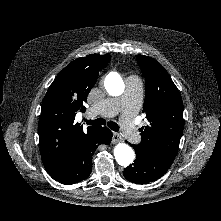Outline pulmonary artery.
I'll use <instances>...</instances> for the list:
<instances>
[{
	"instance_id": "pulmonary-artery-1",
	"label": "pulmonary artery",
	"mask_w": 221,
	"mask_h": 221,
	"mask_svg": "<svg viewBox=\"0 0 221 221\" xmlns=\"http://www.w3.org/2000/svg\"><path fill=\"white\" fill-rule=\"evenodd\" d=\"M142 83L135 76L126 79L125 91L121 97L105 100L97 107L90 108L87 117L96 115L114 116L122 112L121 128L132 143L139 141V132L134 122V115L142 100Z\"/></svg>"
}]
</instances>
